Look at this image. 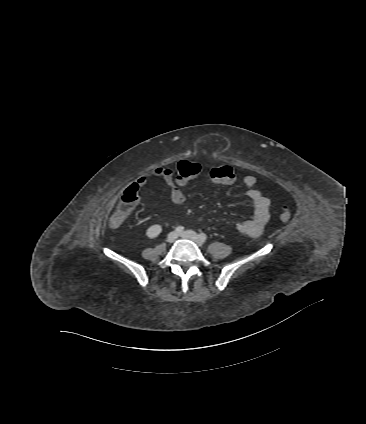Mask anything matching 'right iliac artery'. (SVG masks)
I'll return each mask as SVG.
<instances>
[{
	"label": "right iliac artery",
	"mask_w": 366,
	"mask_h": 424,
	"mask_svg": "<svg viewBox=\"0 0 366 424\" xmlns=\"http://www.w3.org/2000/svg\"><path fill=\"white\" fill-rule=\"evenodd\" d=\"M184 230V227L183 226H178V227H176L175 228V231L177 232V233H180V232H182Z\"/></svg>",
	"instance_id": "right-iliac-artery-1"
}]
</instances>
